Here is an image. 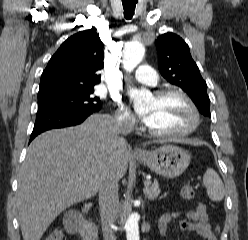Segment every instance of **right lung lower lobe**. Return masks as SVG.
<instances>
[{
  "label": "right lung lower lobe",
  "mask_w": 248,
  "mask_h": 240,
  "mask_svg": "<svg viewBox=\"0 0 248 240\" xmlns=\"http://www.w3.org/2000/svg\"><path fill=\"white\" fill-rule=\"evenodd\" d=\"M94 112L97 111L71 110L59 107L40 108L37 111L33 132L30 136V142L38 134L44 131L80 124Z\"/></svg>",
  "instance_id": "98d812e1"
}]
</instances>
